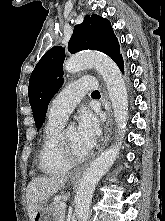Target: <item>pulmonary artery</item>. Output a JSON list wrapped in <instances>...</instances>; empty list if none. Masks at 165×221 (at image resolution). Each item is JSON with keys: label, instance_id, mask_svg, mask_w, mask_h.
Returning <instances> with one entry per match:
<instances>
[{"label": "pulmonary artery", "instance_id": "e3ab8cb5", "mask_svg": "<svg viewBox=\"0 0 165 221\" xmlns=\"http://www.w3.org/2000/svg\"><path fill=\"white\" fill-rule=\"evenodd\" d=\"M96 88L97 82L92 77H84L71 82L53 99L48 117L65 121L84 94Z\"/></svg>", "mask_w": 165, "mask_h": 221}]
</instances>
